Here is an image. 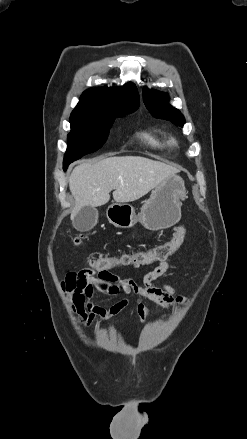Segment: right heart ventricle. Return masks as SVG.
<instances>
[{
  "label": "right heart ventricle",
  "mask_w": 247,
  "mask_h": 439,
  "mask_svg": "<svg viewBox=\"0 0 247 439\" xmlns=\"http://www.w3.org/2000/svg\"><path fill=\"white\" fill-rule=\"evenodd\" d=\"M138 138L141 142L156 149H163L168 146V141L165 136L153 132L149 129H142L138 132Z\"/></svg>",
  "instance_id": "1"
}]
</instances>
